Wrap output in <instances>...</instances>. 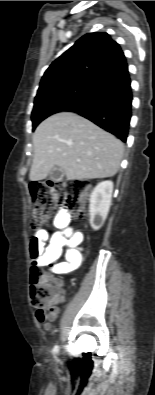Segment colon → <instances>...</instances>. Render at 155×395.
Listing matches in <instances>:
<instances>
[{"label":"colon","instance_id":"obj_1","mask_svg":"<svg viewBox=\"0 0 155 395\" xmlns=\"http://www.w3.org/2000/svg\"><path fill=\"white\" fill-rule=\"evenodd\" d=\"M91 191L87 180L64 179L58 181L34 182L30 185L32 198L31 221L33 228L44 226L59 202L65 211L83 216L86 197ZM31 303L38 311L53 310L61 302L60 284L44 269L32 266L30 276Z\"/></svg>","mask_w":155,"mask_h":395}]
</instances>
